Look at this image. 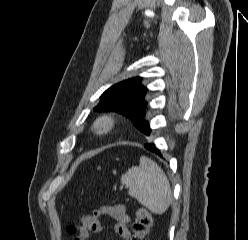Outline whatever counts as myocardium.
<instances>
[{"mask_svg":"<svg viewBox=\"0 0 248 240\" xmlns=\"http://www.w3.org/2000/svg\"><path fill=\"white\" fill-rule=\"evenodd\" d=\"M117 120L113 114H102L98 116L93 124V129L97 134H106L114 129Z\"/></svg>","mask_w":248,"mask_h":240,"instance_id":"f54148a6","label":"myocardium"}]
</instances>
